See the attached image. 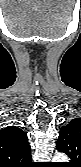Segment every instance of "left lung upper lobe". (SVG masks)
Masks as SVG:
<instances>
[{
	"label": "left lung upper lobe",
	"instance_id": "5c2ea615",
	"mask_svg": "<svg viewBox=\"0 0 81 167\" xmlns=\"http://www.w3.org/2000/svg\"><path fill=\"white\" fill-rule=\"evenodd\" d=\"M57 150L66 153L69 167H79L81 160V119L76 118L62 126L57 140Z\"/></svg>",
	"mask_w": 81,
	"mask_h": 167
}]
</instances>
